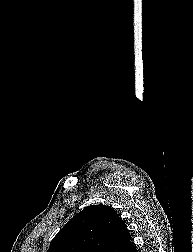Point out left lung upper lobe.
I'll list each match as a JSON object with an SVG mask.
<instances>
[{"instance_id":"left-lung-upper-lobe-1","label":"left lung upper lobe","mask_w":193,"mask_h":252,"mask_svg":"<svg viewBox=\"0 0 193 252\" xmlns=\"http://www.w3.org/2000/svg\"><path fill=\"white\" fill-rule=\"evenodd\" d=\"M131 240L125 222L106 205H91L57 233L47 252H123Z\"/></svg>"}]
</instances>
